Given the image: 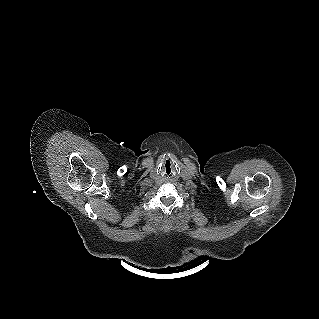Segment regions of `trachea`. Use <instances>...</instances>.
<instances>
[{"instance_id": "3493384b", "label": "trachea", "mask_w": 319, "mask_h": 319, "mask_svg": "<svg viewBox=\"0 0 319 319\" xmlns=\"http://www.w3.org/2000/svg\"><path fill=\"white\" fill-rule=\"evenodd\" d=\"M173 167L171 165L170 162H166L165 166H164V171L166 174H171V171H172Z\"/></svg>"}]
</instances>
